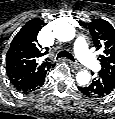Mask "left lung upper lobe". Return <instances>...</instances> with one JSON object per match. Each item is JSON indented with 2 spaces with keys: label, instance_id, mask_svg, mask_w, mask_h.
<instances>
[{
  "label": "left lung upper lobe",
  "instance_id": "obj_1",
  "mask_svg": "<svg viewBox=\"0 0 115 119\" xmlns=\"http://www.w3.org/2000/svg\"><path fill=\"white\" fill-rule=\"evenodd\" d=\"M88 27L97 50L103 51L100 55V73L115 79V29L103 19L93 20Z\"/></svg>",
  "mask_w": 115,
  "mask_h": 119
}]
</instances>
